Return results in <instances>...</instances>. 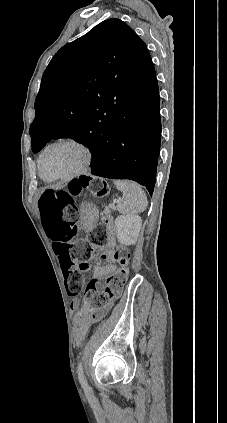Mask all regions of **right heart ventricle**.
Masks as SVG:
<instances>
[{
    "mask_svg": "<svg viewBox=\"0 0 227 423\" xmlns=\"http://www.w3.org/2000/svg\"><path fill=\"white\" fill-rule=\"evenodd\" d=\"M40 177H41V179L43 180V181H45V182H49V181H47V180H45L41 175H40Z\"/></svg>",
    "mask_w": 227,
    "mask_h": 423,
    "instance_id": "obj_1",
    "label": "right heart ventricle"
}]
</instances>
